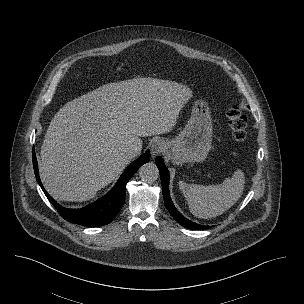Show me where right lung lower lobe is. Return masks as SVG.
<instances>
[{
    "label": "right lung lower lobe",
    "mask_w": 304,
    "mask_h": 304,
    "mask_svg": "<svg viewBox=\"0 0 304 304\" xmlns=\"http://www.w3.org/2000/svg\"><path fill=\"white\" fill-rule=\"evenodd\" d=\"M33 167L36 179L47 196L48 200L57 209L60 215L68 222L83 226H102L113 221L125 203V187L135 172L150 159V152L131 163L120 176L116 185L105 196L96 202L81 209H68L60 206L43 188L38 173L35 151H32Z\"/></svg>",
    "instance_id": "right-lung-lower-lobe-1"
}]
</instances>
